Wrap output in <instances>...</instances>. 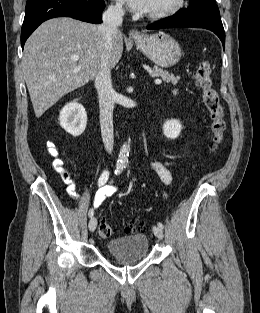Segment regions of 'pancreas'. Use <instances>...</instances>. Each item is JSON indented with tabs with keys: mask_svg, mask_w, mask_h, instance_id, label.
<instances>
[{
	"mask_svg": "<svg viewBox=\"0 0 260 313\" xmlns=\"http://www.w3.org/2000/svg\"><path fill=\"white\" fill-rule=\"evenodd\" d=\"M151 72L154 76L161 77L166 83H171L176 85L180 77H175L173 74H170L168 71H165L157 66H154L151 69Z\"/></svg>",
	"mask_w": 260,
	"mask_h": 313,
	"instance_id": "cf45deb5",
	"label": "pancreas"
}]
</instances>
